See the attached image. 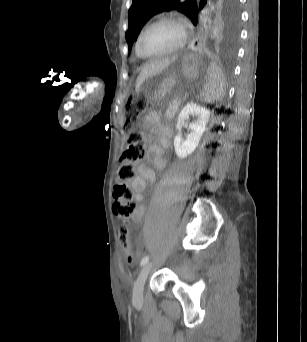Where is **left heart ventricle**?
I'll return each mask as SVG.
<instances>
[{
	"label": "left heart ventricle",
	"mask_w": 307,
	"mask_h": 342,
	"mask_svg": "<svg viewBox=\"0 0 307 342\" xmlns=\"http://www.w3.org/2000/svg\"><path fill=\"white\" fill-rule=\"evenodd\" d=\"M180 38L178 28L170 22L153 25L142 40V51L148 56H155L173 47Z\"/></svg>",
	"instance_id": "obj_1"
}]
</instances>
